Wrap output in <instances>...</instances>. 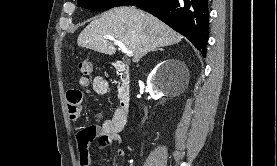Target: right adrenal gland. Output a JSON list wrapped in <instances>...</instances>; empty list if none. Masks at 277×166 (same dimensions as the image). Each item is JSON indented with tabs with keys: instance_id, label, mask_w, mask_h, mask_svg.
<instances>
[{
	"instance_id": "right-adrenal-gland-1",
	"label": "right adrenal gland",
	"mask_w": 277,
	"mask_h": 166,
	"mask_svg": "<svg viewBox=\"0 0 277 166\" xmlns=\"http://www.w3.org/2000/svg\"><path fill=\"white\" fill-rule=\"evenodd\" d=\"M158 50H159V51H163V49H161V48H159Z\"/></svg>"
}]
</instances>
